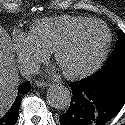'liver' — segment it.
Here are the masks:
<instances>
[{"label":"liver","instance_id":"liver-1","mask_svg":"<svg viewBox=\"0 0 125 125\" xmlns=\"http://www.w3.org/2000/svg\"><path fill=\"white\" fill-rule=\"evenodd\" d=\"M10 41V36L0 25V116L14 101L19 85Z\"/></svg>","mask_w":125,"mask_h":125}]
</instances>
